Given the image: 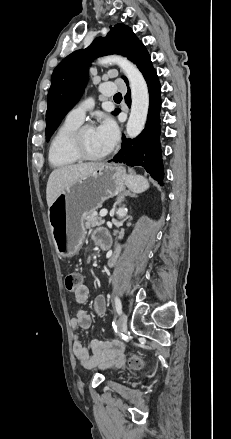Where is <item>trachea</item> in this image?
Returning <instances> with one entry per match:
<instances>
[{
	"label": "trachea",
	"instance_id": "obj_1",
	"mask_svg": "<svg viewBox=\"0 0 231 439\" xmlns=\"http://www.w3.org/2000/svg\"><path fill=\"white\" fill-rule=\"evenodd\" d=\"M114 99H115V100L122 99V95H121V93H116V94L114 95Z\"/></svg>",
	"mask_w": 231,
	"mask_h": 439
}]
</instances>
